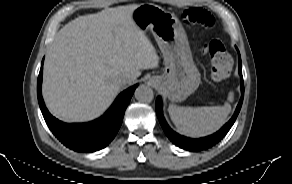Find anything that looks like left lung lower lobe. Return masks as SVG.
<instances>
[{
	"instance_id": "obj_1",
	"label": "left lung lower lobe",
	"mask_w": 292,
	"mask_h": 184,
	"mask_svg": "<svg viewBox=\"0 0 292 184\" xmlns=\"http://www.w3.org/2000/svg\"><path fill=\"white\" fill-rule=\"evenodd\" d=\"M239 73H240L241 78H242V81H241L242 96H241L240 102L236 108L235 114L230 119V121L227 124H225L218 132H216L215 134L210 135L208 137H204V138H200V139H191V138L181 136V135L177 134L176 132H174L168 126V124L166 123V121L163 117L161 98L158 97L156 100V104H155L156 113H157V117L160 121V124H161L164 132L166 133L167 137L177 146H179L183 149H186V150H190V151L204 150V149L210 148L211 146L218 143L227 134V132L230 130V128L234 124V122L238 116V113L241 109V106H242L243 96H244V83H243V77H242V66H241L240 55H239Z\"/></svg>"
}]
</instances>
